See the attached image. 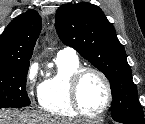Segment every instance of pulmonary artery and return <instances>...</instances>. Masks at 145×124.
<instances>
[{
	"label": "pulmonary artery",
	"mask_w": 145,
	"mask_h": 124,
	"mask_svg": "<svg viewBox=\"0 0 145 124\" xmlns=\"http://www.w3.org/2000/svg\"><path fill=\"white\" fill-rule=\"evenodd\" d=\"M60 56L77 57L76 51L73 48H64L58 52Z\"/></svg>",
	"instance_id": "e3ab8cb5"
}]
</instances>
